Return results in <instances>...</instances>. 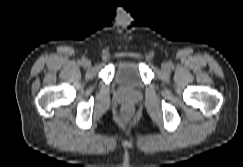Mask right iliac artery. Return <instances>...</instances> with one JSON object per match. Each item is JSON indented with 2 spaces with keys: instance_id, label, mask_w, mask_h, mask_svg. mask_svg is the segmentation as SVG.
<instances>
[{
  "instance_id": "right-iliac-artery-1",
  "label": "right iliac artery",
  "mask_w": 243,
  "mask_h": 167,
  "mask_svg": "<svg viewBox=\"0 0 243 167\" xmlns=\"http://www.w3.org/2000/svg\"><path fill=\"white\" fill-rule=\"evenodd\" d=\"M83 62H84V59H82L81 63H83Z\"/></svg>"
}]
</instances>
